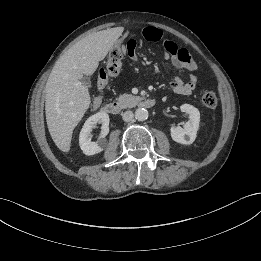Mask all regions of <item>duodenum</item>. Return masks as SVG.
<instances>
[{"mask_svg":"<svg viewBox=\"0 0 261 261\" xmlns=\"http://www.w3.org/2000/svg\"><path fill=\"white\" fill-rule=\"evenodd\" d=\"M138 105L143 108H152L155 105L153 98L140 99ZM102 111L110 115H117L121 111V105L117 102H111L103 106Z\"/></svg>","mask_w":261,"mask_h":261,"instance_id":"1","label":"duodenum"}]
</instances>
